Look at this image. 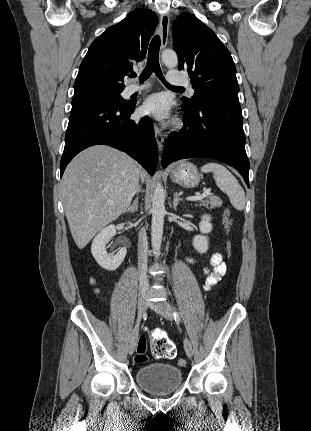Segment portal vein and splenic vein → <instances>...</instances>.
<instances>
[{"instance_id":"obj_1","label":"portal vein and splenic vein","mask_w":311,"mask_h":431,"mask_svg":"<svg viewBox=\"0 0 311 431\" xmlns=\"http://www.w3.org/2000/svg\"><path fill=\"white\" fill-rule=\"evenodd\" d=\"M211 188H207V190H203V194H198V196H189V198H186L188 202H196V200H203V198H206V196H211L210 194ZM112 204V202H110Z\"/></svg>"}]
</instances>
